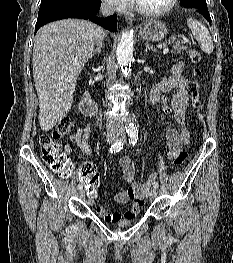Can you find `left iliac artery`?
I'll return each mask as SVG.
<instances>
[{"label": "left iliac artery", "mask_w": 233, "mask_h": 263, "mask_svg": "<svg viewBox=\"0 0 233 263\" xmlns=\"http://www.w3.org/2000/svg\"><path fill=\"white\" fill-rule=\"evenodd\" d=\"M128 136H129V143L132 146H134L138 140V131L132 129V130L128 131ZM153 187L157 189L158 188V182L154 181Z\"/></svg>", "instance_id": "44dca946"}]
</instances>
